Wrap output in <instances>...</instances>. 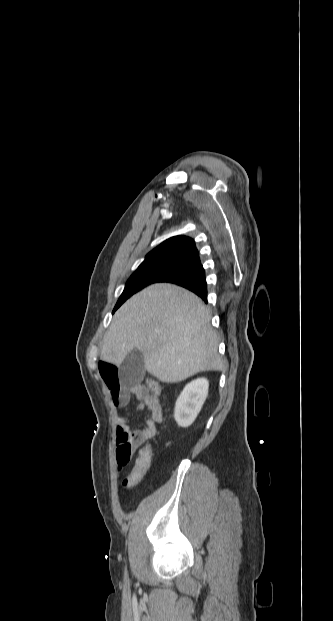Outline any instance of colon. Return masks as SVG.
Here are the masks:
<instances>
[{
    "label": "colon",
    "mask_w": 333,
    "mask_h": 621,
    "mask_svg": "<svg viewBox=\"0 0 333 621\" xmlns=\"http://www.w3.org/2000/svg\"><path fill=\"white\" fill-rule=\"evenodd\" d=\"M147 382L152 393L160 396L162 391L161 384L153 378L148 379ZM151 460L152 450L150 446L146 445L139 450L134 465L124 480V485L127 488H133L143 479L150 468Z\"/></svg>",
    "instance_id": "5ec220e1"
}]
</instances>
